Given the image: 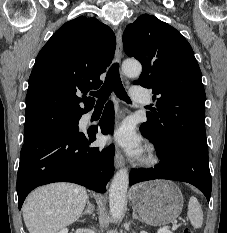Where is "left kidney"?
<instances>
[{
  "instance_id": "obj_1",
  "label": "left kidney",
  "mask_w": 227,
  "mask_h": 233,
  "mask_svg": "<svg viewBox=\"0 0 227 233\" xmlns=\"http://www.w3.org/2000/svg\"><path fill=\"white\" fill-rule=\"evenodd\" d=\"M157 233H172V232H170L168 229L163 228V229H159Z\"/></svg>"
}]
</instances>
